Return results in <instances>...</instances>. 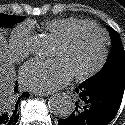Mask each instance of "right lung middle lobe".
Instances as JSON below:
<instances>
[{
  "instance_id": "dd1d6c3e",
  "label": "right lung middle lobe",
  "mask_w": 125,
  "mask_h": 125,
  "mask_svg": "<svg viewBox=\"0 0 125 125\" xmlns=\"http://www.w3.org/2000/svg\"><path fill=\"white\" fill-rule=\"evenodd\" d=\"M23 19H24V16L20 17V16L0 14V26L11 27L12 25L22 21Z\"/></svg>"
}]
</instances>
